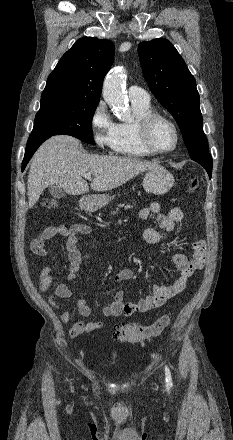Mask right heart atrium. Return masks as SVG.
Returning a JSON list of instances; mask_svg holds the SVG:
<instances>
[{"instance_id": "1", "label": "right heart atrium", "mask_w": 233, "mask_h": 440, "mask_svg": "<svg viewBox=\"0 0 233 440\" xmlns=\"http://www.w3.org/2000/svg\"><path fill=\"white\" fill-rule=\"evenodd\" d=\"M115 125L103 101H99L90 117V129L95 144L102 150L114 148Z\"/></svg>"}]
</instances>
